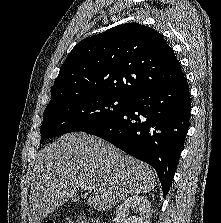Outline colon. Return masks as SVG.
<instances>
[{"label":"colon","mask_w":221,"mask_h":223,"mask_svg":"<svg viewBox=\"0 0 221 223\" xmlns=\"http://www.w3.org/2000/svg\"><path fill=\"white\" fill-rule=\"evenodd\" d=\"M54 220H49L47 223H54ZM77 223H98L96 220H91V219H80L77 221Z\"/></svg>","instance_id":"1"}]
</instances>
